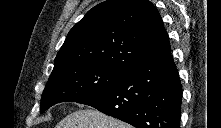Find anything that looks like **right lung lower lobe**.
<instances>
[{"label":"right lung lower lobe","mask_w":221,"mask_h":128,"mask_svg":"<svg viewBox=\"0 0 221 128\" xmlns=\"http://www.w3.org/2000/svg\"><path fill=\"white\" fill-rule=\"evenodd\" d=\"M171 50L147 58L78 103L136 128H180L182 88Z\"/></svg>","instance_id":"1"}]
</instances>
